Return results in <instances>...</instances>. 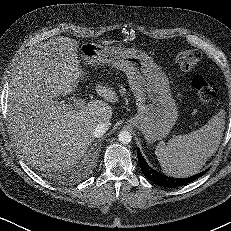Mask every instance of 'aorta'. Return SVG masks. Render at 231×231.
Returning a JSON list of instances; mask_svg holds the SVG:
<instances>
[{"instance_id":"1","label":"aorta","mask_w":231,"mask_h":231,"mask_svg":"<svg viewBox=\"0 0 231 231\" xmlns=\"http://www.w3.org/2000/svg\"><path fill=\"white\" fill-rule=\"evenodd\" d=\"M118 139L122 144H128L131 142L132 140V135L129 131L126 130H122L119 134H118Z\"/></svg>"}]
</instances>
